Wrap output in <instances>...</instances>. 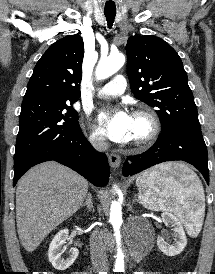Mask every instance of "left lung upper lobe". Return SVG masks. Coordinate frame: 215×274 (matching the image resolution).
I'll return each instance as SVG.
<instances>
[{
  "mask_svg": "<svg viewBox=\"0 0 215 274\" xmlns=\"http://www.w3.org/2000/svg\"><path fill=\"white\" fill-rule=\"evenodd\" d=\"M127 73L135 97L155 107L161 131H201L197 107L178 53L153 35L132 36L126 45Z\"/></svg>",
  "mask_w": 215,
  "mask_h": 274,
  "instance_id": "obj_1",
  "label": "left lung upper lobe"
}]
</instances>
